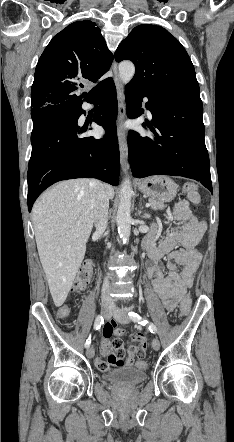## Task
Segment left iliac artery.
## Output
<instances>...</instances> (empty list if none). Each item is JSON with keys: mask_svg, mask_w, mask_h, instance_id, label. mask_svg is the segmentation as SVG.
Here are the masks:
<instances>
[{"mask_svg": "<svg viewBox=\"0 0 234 442\" xmlns=\"http://www.w3.org/2000/svg\"><path fill=\"white\" fill-rule=\"evenodd\" d=\"M128 315L132 321L137 322V323L144 325V326L148 325L151 333H153V334L157 333L156 326L153 323L148 322L146 319H143L139 314H137L135 312H129Z\"/></svg>", "mask_w": 234, "mask_h": 442, "instance_id": "obj_1", "label": "left iliac artery"}]
</instances>
